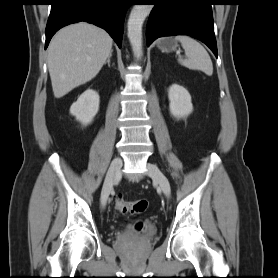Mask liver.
Wrapping results in <instances>:
<instances>
[{
    "label": "liver",
    "instance_id": "obj_1",
    "mask_svg": "<svg viewBox=\"0 0 278 278\" xmlns=\"http://www.w3.org/2000/svg\"><path fill=\"white\" fill-rule=\"evenodd\" d=\"M103 29L80 22L59 30L48 47V69L56 98L93 79L112 53Z\"/></svg>",
    "mask_w": 278,
    "mask_h": 278
}]
</instances>
